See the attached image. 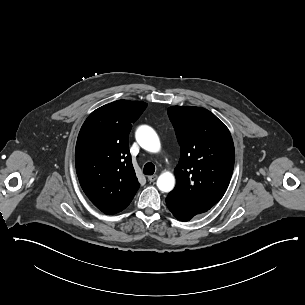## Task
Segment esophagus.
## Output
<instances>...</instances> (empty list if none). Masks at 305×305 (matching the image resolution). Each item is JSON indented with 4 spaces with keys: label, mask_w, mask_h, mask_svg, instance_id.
I'll use <instances>...</instances> for the list:
<instances>
[{
    "label": "esophagus",
    "mask_w": 305,
    "mask_h": 305,
    "mask_svg": "<svg viewBox=\"0 0 305 305\" xmlns=\"http://www.w3.org/2000/svg\"><path fill=\"white\" fill-rule=\"evenodd\" d=\"M157 178H158V176H157V175H151V176H148V180H149L150 182L155 181Z\"/></svg>",
    "instance_id": "34e87169"
}]
</instances>
